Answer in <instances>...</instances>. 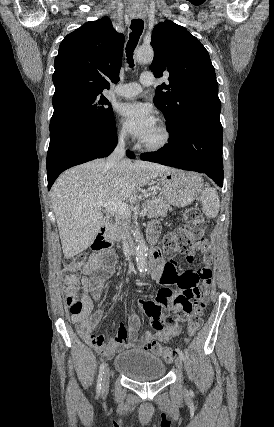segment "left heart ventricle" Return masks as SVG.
I'll use <instances>...</instances> for the list:
<instances>
[{"instance_id": "1", "label": "left heart ventricle", "mask_w": 274, "mask_h": 427, "mask_svg": "<svg viewBox=\"0 0 274 427\" xmlns=\"http://www.w3.org/2000/svg\"><path fill=\"white\" fill-rule=\"evenodd\" d=\"M163 139V131L158 123H156L155 127L152 131L141 140L142 143L156 145L159 144Z\"/></svg>"}]
</instances>
